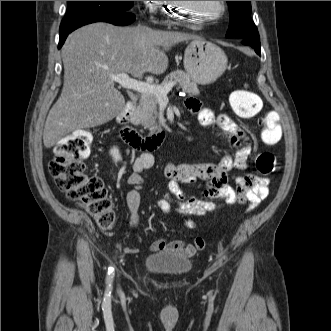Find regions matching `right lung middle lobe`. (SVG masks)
Listing matches in <instances>:
<instances>
[{"label": "right lung middle lobe", "mask_w": 331, "mask_h": 331, "mask_svg": "<svg viewBox=\"0 0 331 331\" xmlns=\"http://www.w3.org/2000/svg\"><path fill=\"white\" fill-rule=\"evenodd\" d=\"M133 1H68L60 31L98 16L129 12Z\"/></svg>", "instance_id": "obj_1"}]
</instances>
